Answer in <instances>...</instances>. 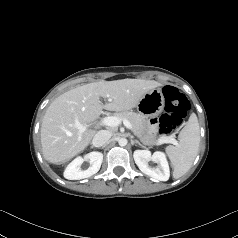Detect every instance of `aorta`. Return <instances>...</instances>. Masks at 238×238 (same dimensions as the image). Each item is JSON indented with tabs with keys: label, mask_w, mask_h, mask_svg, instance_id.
Listing matches in <instances>:
<instances>
[{
	"label": "aorta",
	"mask_w": 238,
	"mask_h": 238,
	"mask_svg": "<svg viewBox=\"0 0 238 238\" xmlns=\"http://www.w3.org/2000/svg\"><path fill=\"white\" fill-rule=\"evenodd\" d=\"M127 143H128V141H127L126 138H120V139L118 140V144H119L120 146H126Z\"/></svg>",
	"instance_id": "1"
}]
</instances>
